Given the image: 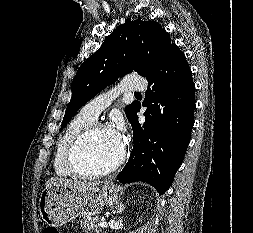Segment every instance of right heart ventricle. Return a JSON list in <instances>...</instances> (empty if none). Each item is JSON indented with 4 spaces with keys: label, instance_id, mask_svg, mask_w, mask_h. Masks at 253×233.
Segmentation results:
<instances>
[{
    "label": "right heart ventricle",
    "instance_id": "right-heart-ventricle-1",
    "mask_svg": "<svg viewBox=\"0 0 253 233\" xmlns=\"http://www.w3.org/2000/svg\"><path fill=\"white\" fill-rule=\"evenodd\" d=\"M93 122V119L79 113L66 126L58 140L53 158L54 171L58 176H74L66 165V154L68 148L73 139Z\"/></svg>",
    "mask_w": 253,
    "mask_h": 233
}]
</instances>
